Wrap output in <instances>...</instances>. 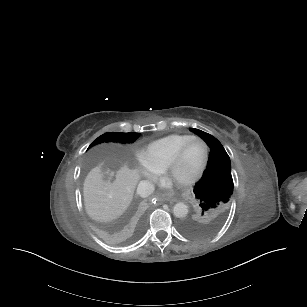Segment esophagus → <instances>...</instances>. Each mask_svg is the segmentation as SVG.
<instances>
[{"instance_id":"esophagus-1","label":"esophagus","mask_w":307,"mask_h":307,"mask_svg":"<svg viewBox=\"0 0 307 307\" xmlns=\"http://www.w3.org/2000/svg\"><path fill=\"white\" fill-rule=\"evenodd\" d=\"M156 198H157L158 202H160V203H163V202H165V201H169V200H170L169 197H167V196H161V195L156 196Z\"/></svg>"}]
</instances>
